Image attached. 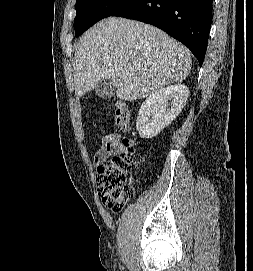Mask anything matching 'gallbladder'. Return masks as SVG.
<instances>
[{"mask_svg":"<svg viewBox=\"0 0 253 271\" xmlns=\"http://www.w3.org/2000/svg\"><path fill=\"white\" fill-rule=\"evenodd\" d=\"M116 87L107 79H102L95 87L97 96L102 99H110L115 95Z\"/></svg>","mask_w":253,"mask_h":271,"instance_id":"1","label":"gallbladder"}]
</instances>
